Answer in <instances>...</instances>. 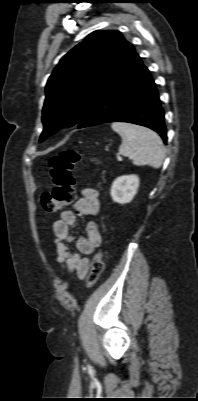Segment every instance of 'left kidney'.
<instances>
[{
	"mask_svg": "<svg viewBox=\"0 0 198 401\" xmlns=\"http://www.w3.org/2000/svg\"><path fill=\"white\" fill-rule=\"evenodd\" d=\"M139 187L137 175H124L116 178L111 187V197L114 202L126 204L133 200Z\"/></svg>",
	"mask_w": 198,
	"mask_h": 401,
	"instance_id": "1",
	"label": "left kidney"
}]
</instances>
